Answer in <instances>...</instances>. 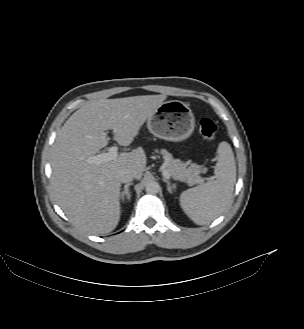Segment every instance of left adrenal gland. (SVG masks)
<instances>
[{
  "instance_id": "obj_1",
  "label": "left adrenal gland",
  "mask_w": 304,
  "mask_h": 329,
  "mask_svg": "<svg viewBox=\"0 0 304 329\" xmlns=\"http://www.w3.org/2000/svg\"><path fill=\"white\" fill-rule=\"evenodd\" d=\"M166 184H167V190L169 193H173V189H175V185L171 184L167 179L163 178L162 179Z\"/></svg>"
}]
</instances>
